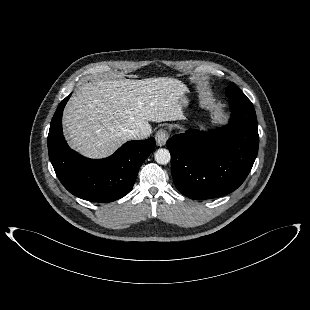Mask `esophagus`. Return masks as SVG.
Returning a JSON list of instances; mask_svg holds the SVG:
<instances>
[{
	"instance_id": "esophagus-1",
	"label": "esophagus",
	"mask_w": 310,
	"mask_h": 310,
	"mask_svg": "<svg viewBox=\"0 0 310 310\" xmlns=\"http://www.w3.org/2000/svg\"><path fill=\"white\" fill-rule=\"evenodd\" d=\"M168 138H169V134L164 129L158 130L155 135L156 143L158 146H164Z\"/></svg>"
}]
</instances>
